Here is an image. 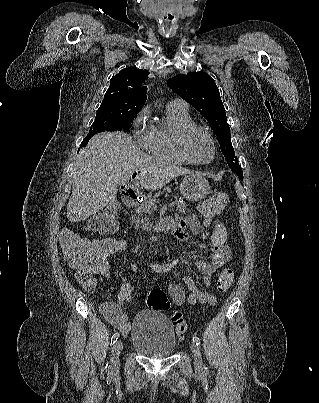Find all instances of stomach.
<instances>
[{
  "label": "stomach",
  "instance_id": "stomach-1",
  "mask_svg": "<svg viewBox=\"0 0 319 403\" xmlns=\"http://www.w3.org/2000/svg\"><path fill=\"white\" fill-rule=\"evenodd\" d=\"M180 190L187 201L197 202L210 193V185L204 177L190 174L182 180Z\"/></svg>",
  "mask_w": 319,
  "mask_h": 403
}]
</instances>
